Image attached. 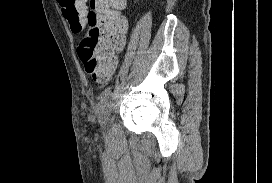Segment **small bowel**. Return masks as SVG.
I'll list each match as a JSON object with an SVG mask.
<instances>
[{"label": "small bowel", "instance_id": "1", "mask_svg": "<svg viewBox=\"0 0 272 183\" xmlns=\"http://www.w3.org/2000/svg\"><path fill=\"white\" fill-rule=\"evenodd\" d=\"M112 73H113V71L111 72V74ZM111 74L109 76H107L106 78H104V79H98V78H95V79H97L98 81H105L106 79H108L111 76Z\"/></svg>", "mask_w": 272, "mask_h": 183}]
</instances>
